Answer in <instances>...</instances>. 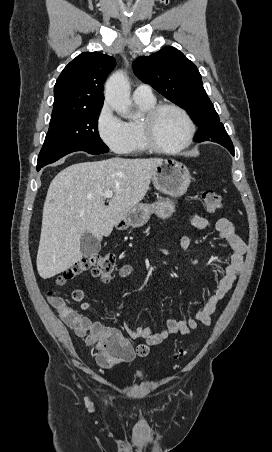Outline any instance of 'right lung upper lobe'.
Masks as SVG:
<instances>
[{"instance_id":"obj_1","label":"right lung upper lobe","mask_w":272,"mask_h":452,"mask_svg":"<svg viewBox=\"0 0 272 452\" xmlns=\"http://www.w3.org/2000/svg\"><path fill=\"white\" fill-rule=\"evenodd\" d=\"M115 63L99 52H84L72 60L54 86L52 115L102 108L103 83Z\"/></svg>"}]
</instances>
